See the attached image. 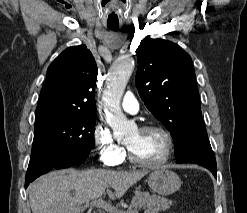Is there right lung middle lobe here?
Listing matches in <instances>:
<instances>
[{
	"mask_svg": "<svg viewBox=\"0 0 247 213\" xmlns=\"http://www.w3.org/2000/svg\"><path fill=\"white\" fill-rule=\"evenodd\" d=\"M96 113L49 112L35 115V133L30 162L55 151L77 157L94 147Z\"/></svg>",
	"mask_w": 247,
	"mask_h": 213,
	"instance_id": "dd1d6c3e",
	"label": "right lung middle lobe"
}]
</instances>
